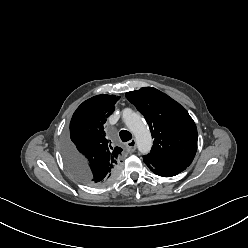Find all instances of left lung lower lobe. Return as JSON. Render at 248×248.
I'll use <instances>...</instances> for the list:
<instances>
[{"instance_id":"0a47b994","label":"left lung lower lobe","mask_w":248,"mask_h":248,"mask_svg":"<svg viewBox=\"0 0 248 248\" xmlns=\"http://www.w3.org/2000/svg\"><path fill=\"white\" fill-rule=\"evenodd\" d=\"M147 166L150 168L151 171H153L156 175L162 176V177H171L175 176L178 173L182 172L186 168H173V169H156L150 165L147 164Z\"/></svg>"}]
</instances>
